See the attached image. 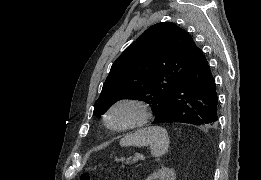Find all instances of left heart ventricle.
I'll return each mask as SVG.
<instances>
[{
    "label": "left heart ventricle",
    "mask_w": 261,
    "mask_h": 180,
    "mask_svg": "<svg viewBox=\"0 0 261 180\" xmlns=\"http://www.w3.org/2000/svg\"><path fill=\"white\" fill-rule=\"evenodd\" d=\"M132 110L130 108H120L114 114V122L116 124L127 121L132 116Z\"/></svg>",
    "instance_id": "left-heart-ventricle-1"
}]
</instances>
